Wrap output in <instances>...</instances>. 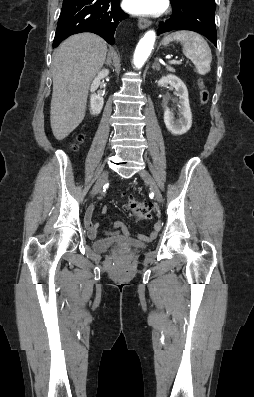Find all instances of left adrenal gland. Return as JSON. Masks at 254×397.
<instances>
[{
	"instance_id": "left-adrenal-gland-1",
	"label": "left adrenal gland",
	"mask_w": 254,
	"mask_h": 397,
	"mask_svg": "<svg viewBox=\"0 0 254 397\" xmlns=\"http://www.w3.org/2000/svg\"><path fill=\"white\" fill-rule=\"evenodd\" d=\"M158 60H159V58L157 57V58L155 59V62H154L153 65H152V69H153V70H154V69H156L157 71L160 70V64H159Z\"/></svg>"
}]
</instances>
